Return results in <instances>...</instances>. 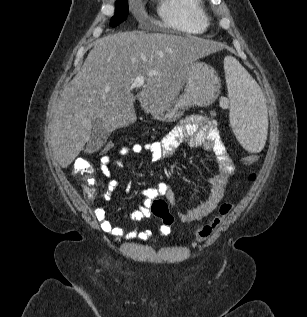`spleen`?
Masks as SVG:
<instances>
[{
	"mask_svg": "<svg viewBox=\"0 0 307 317\" xmlns=\"http://www.w3.org/2000/svg\"><path fill=\"white\" fill-rule=\"evenodd\" d=\"M230 124L239 143L249 152H260L267 137V110L263 93L245 68L233 57L224 59Z\"/></svg>",
	"mask_w": 307,
	"mask_h": 317,
	"instance_id": "3e777b00",
	"label": "spleen"
}]
</instances>
